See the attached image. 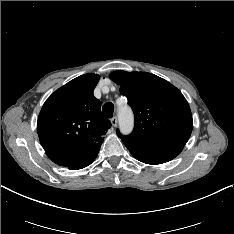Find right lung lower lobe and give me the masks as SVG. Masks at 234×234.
Here are the masks:
<instances>
[{
    "instance_id": "right-lung-lower-lobe-1",
    "label": "right lung lower lobe",
    "mask_w": 234,
    "mask_h": 234,
    "mask_svg": "<svg viewBox=\"0 0 234 234\" xmlns=\"http://www.w3.org/2000/svg\"><path fill=\"white\" fill-rule=\"evenodd\" d=\"M95 158H96V157L92 158V159L89 160L87 163H85V164H83V165H81V166L75 168L74 170H76V169H81V168H84V167L90 165V164L95 160Z\"/></svg>"
}]
</instances>
